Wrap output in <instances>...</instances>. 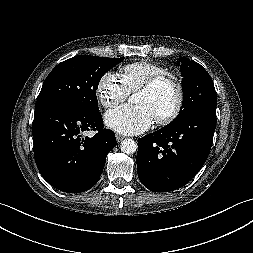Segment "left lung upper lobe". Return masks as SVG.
<instances>
[{
	"mask_svg": "<svg viewBox=\"0 0 253 253\" xmlns=\"http://www.w3.org/2000/svg\"><path fill=\"white\" fill-rule=\"evenodd\" d=\"M177 64L180 65L183 77L184 99L179 114L165 128L173 127L201 110L216 112L217 96L208 72L199 63L188 58H180Z\"/></svg>",
	"mask_w": 253,
	"mask_h": 253,
	"instance_id": "1",
	"label": "left lung upper lobe"
}]
</instances>
